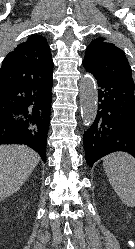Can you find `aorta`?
Returning <instances> with one entry per match:
<instances>
[{
	"label": "aorta",
	"instance_id": "aorta-1",
	"mask_svg": "<svg viewBox=\"0 0 135 249\" xmlns=\"http://www.w3.org/2000/svg\"><path fill=\"white\" fill-rule=\"evenodd\" d=\"M81 114L85 126L93 124L97 114L98 91L95 80L84 75L79 83Z\"/></svg>",
	"mask_w": 135,
	"mask_h": 249
}]
</instances>
